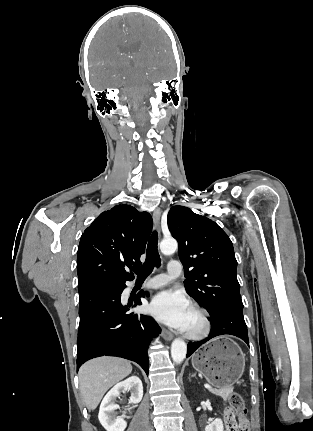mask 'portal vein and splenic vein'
Returning <instances> with one entry per match:
<instances>
[{
    "instance_id": "portal-vein-and-splenic-vein-1",
    "label": "portal vein and splenic vein",
    "mask_w": 313,
    "mask_h": 431,
    "mask_svg": "<svg viewBox=\"0 0 313 431\" xmlns=\"http://www.w3.org/2000/svg\"><path fill=\"white\" fill-rule=\"evenodd\" d=\"M204 387L207 388V389L211 388V386L209 384H205Z\"/></svg>"
}]
</instances>
